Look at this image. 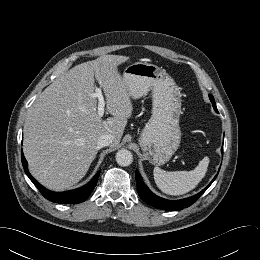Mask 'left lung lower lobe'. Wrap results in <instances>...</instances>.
Returning <instances> with one entry per match:
<instances>
[{
    "instance_id": "obj_1",
    "label": "left lung lower lobe",
    "mask_w": 260,
    "mask_h": 260,
    "mask_svg": "<svg viewBox=\"0 0 260 260\" xmlns=\"http://www.w3.org/2000/svg\"><path fill=\"white\" fill-rule=\"evenodd\" d=\"M222 153H223V147H222ZM216 176L210 182V184L198 194L185 199L172 201V200L163 199L161 197H158L154 193H152L149 190V188L144 184L141 175L138 173V171H136L137 191L141 199L145 203L153 207L163 209V210H181L183 208H187L190 205H192L205 192V190L213 183Z\"/></svg>"
}]
</instances>
